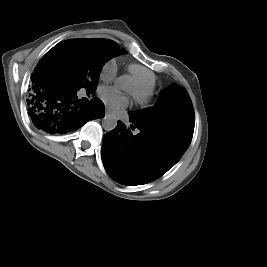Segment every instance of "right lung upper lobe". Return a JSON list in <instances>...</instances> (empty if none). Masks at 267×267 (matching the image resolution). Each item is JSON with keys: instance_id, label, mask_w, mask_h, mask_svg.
I'll return each instance as SVG.
<instances>
[{"instance_id": "1", "label": "right lung upper lobe", "mask_w": 267, "mask_h": 267, "mask_svg": "<svg viewBox=\"0 0 267 267\" xmlns=\"http://www.w3.org/2000/svg\"><path fill=\"white\" fill-rule=\"evenodd\" d=\"M102 40H105V41H107V42H110V43H112L113 45H115L116 47H118L117 43H115V42L112 41V40H109V39H102ZM118 48H119V47H118Z\"/></svg>"}]
</instances>
